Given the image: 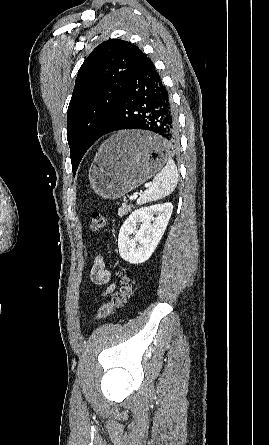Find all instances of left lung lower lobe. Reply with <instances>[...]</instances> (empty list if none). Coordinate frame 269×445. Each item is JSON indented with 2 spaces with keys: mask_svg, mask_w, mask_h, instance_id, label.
Returning a JSON list of instances; mask_svg holds the SVG:
<instances>
[{
  "mask_svg": "<svg viewBox=\"0 0 269 445\" xmlns=\"http://www.w3.org/2000/svg\"><path fill=\"white\" fill-rule=\"evenodd\" d=\"M122 129H142L178 141V123L168 91L152 61L144 54L130 76L115 112L100 136Z\"/></svg>",
  "mask_w": 269,
  "mask_h": 445,
  "instance_id": "obj_1",
  "label": "left lung lower lobe"
}]
</instances>
